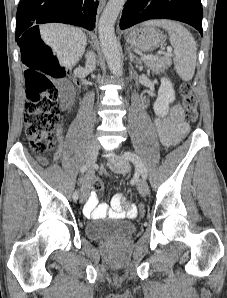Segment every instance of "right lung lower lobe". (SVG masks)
Listing matches in <instances>:
<instances>
[{"label":"right lung lower lobe","instance_id":"98d812e1","mask_svg":"<svg viewBox=\"0 0 227 298\" xmlns=\"http://www.w3.org/2000/svg\"><path fill=\"white\" fill-rule=\"evenodd\" d=\"M97 5V0H20L15 39L21 53H24V42L31 36H39L36 24L58 22L93 30Z\"/></svg>","mask_w":227,"mask_h":298}]
</instances>
